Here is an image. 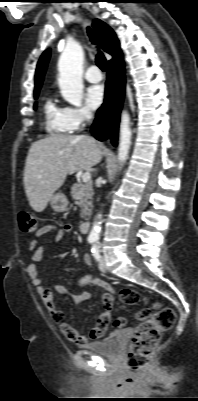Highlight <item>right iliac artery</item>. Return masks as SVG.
Here are the masks:
<instances>
[{"instance_id": "82829eb1", "label": "right iliac artery", "mask_w": 198, "mask_h": 401, "mask_svg": "<svg viewBox=\"0 0 198 401\" xmlns=\"http://www.w3.org/2000/svg\"><path fill=\"white\" fill-rule=\"evenodd\" d=\"M89 242L93 243V242H95V239H89Z\"/></svg>"}]
</instances>
